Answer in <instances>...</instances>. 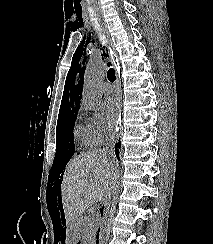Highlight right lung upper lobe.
<instances>
[{
	"label": "right lung upper lobe",
	"instance_id": "right-lung-upper-lobe-1",
	"mask_svg": "<svg viewBox=\"0 0 213 244\" xmlns=\"http://www.w3.org/2000/svg\"><path fill=\"white\" fill-rule=\"evenodd\" d=\"M81 95L82 90L79 81L78 85L74 86L73 89H71L70 94L68 93L66 96L62 98L59 114H63L70 110L78 109L80 106Z\"/></svg>",
	"mask_w": 213,
	"mask_h": 244
}]
</instances>
